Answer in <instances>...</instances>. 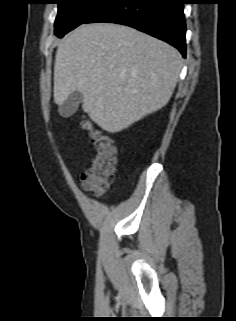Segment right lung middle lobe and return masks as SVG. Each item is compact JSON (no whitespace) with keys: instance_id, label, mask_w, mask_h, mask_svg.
<instances>
[{"instance_id":"obj_1","label":"right lung middle lobe","mask_w":236,"mask_h":321,"mask_svg":"<svg viewBox=\"0 0 236 321\" xmlns=\"http://www.w3.org/2000/svg\"><path fill=\"white\" fill-rule=\"evenodd\" d=\"M109 0H57L55 35L59 38L84 23Z\"/></svg>"}]
</instances>
